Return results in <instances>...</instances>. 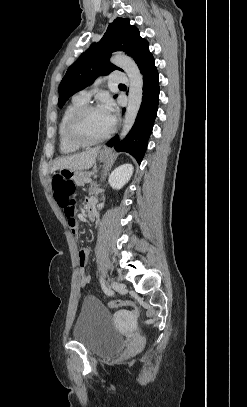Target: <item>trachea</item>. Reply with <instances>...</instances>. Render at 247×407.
<instances>
[{"mask_svg": "<svg viewBox=\"0 0 247 407\" xmlns=\"http://www.w3.org/2000/svg\"><path fill=\"white\" fill-rule=\"evenodd\" d=\"M122 85H124V84H119V86H122Z\"/></svg>", "mask_w": 247, "mask_h": 407, "instance_id": "1", "label": "trachea"}]
</instances>
